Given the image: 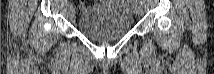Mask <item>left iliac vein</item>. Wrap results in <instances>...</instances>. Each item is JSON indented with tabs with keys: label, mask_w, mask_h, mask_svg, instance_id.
Here are the masks:
<instances>
[{
	"label": "left iliac vein",
	"mask_w": 214,
	"mask_h": 74,
	"mask_svg": "<svg viewBox=\"0 0 214 74\" xmlns=\"http://www.w3.org/2000/svg\"><path fill=\"white\" fill-rule=\"evenodd\" d=\"M135 12L137 15H142L143 14V9L140 5H138L136 8H135Z\"/></svg>",
	"instance_id": "1"
}]
</instances>
